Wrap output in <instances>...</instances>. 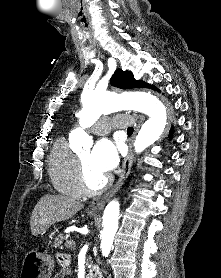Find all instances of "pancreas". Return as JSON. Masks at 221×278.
<instances>
[{"instance_id": "cf45deb5", "label": "pancreas", "mask_w": 221, "mask_h": 278, "mask_svg": "<svg viewBox=\"0 0 221 278\" xmlns=\"http://www.w3.org/2000/svg\"><path fill=\"white\" fill-rule=\"evenodd\" d=\"M64 240H66V237L63 236V235H59L58 237H56V238L54 239L53 247H54V248L62 247V244H63V241H64ZM65 247H66V248H69V249H75V245H74V244L70 245V244L68 243V241L65 243ZM88 263H89V262H88Z\"/></svg>"}]
</instances>
